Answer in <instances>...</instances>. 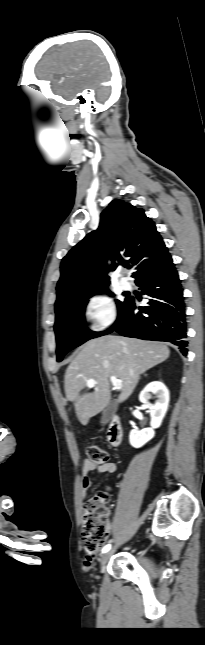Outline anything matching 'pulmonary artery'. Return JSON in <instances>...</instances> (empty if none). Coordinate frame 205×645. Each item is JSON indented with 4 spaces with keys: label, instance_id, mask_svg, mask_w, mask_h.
Returning a JSON list of instances; mask_svg holds the SVG:
<instances>
[{
    "label": "pulmonary artery",
    "instance_id": "pulmonary-artery-1",
    "mask_svg": "<svg viewBox=\"0 0 205 645\" xmlns=\"http://www.w3.org/2000/svg\"><path fill=\"white\" fill-rule=\"evenodd\" d=\"M119 285L123 290H129L131 288L130 282L125 277L119 279Z\"/></svg>",
    "mask_w": 205,
    "mask_h": 645
}]
</instances>
